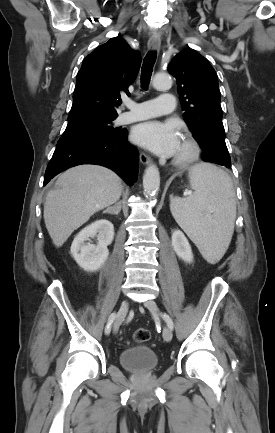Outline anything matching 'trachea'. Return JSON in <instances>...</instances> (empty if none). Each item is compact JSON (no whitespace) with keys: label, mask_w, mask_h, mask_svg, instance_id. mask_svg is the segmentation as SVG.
Instances as JSON below:
<instances>
[{"label":"trachea","mask_w":275,"mask_h":433,"mask_svg":"<svg viewBox=\"0 0 275 433\" xmlns=\"http://www.w3.org/2000/svg\"><path fill=\"white\" fill-rule=\"evenodd\" d=\"M155 60H156L155 51H150L144 58L142 70H141V87L144 90H147L148 88Z\"/></svg>","instance_id":"1"}]
</instances>
